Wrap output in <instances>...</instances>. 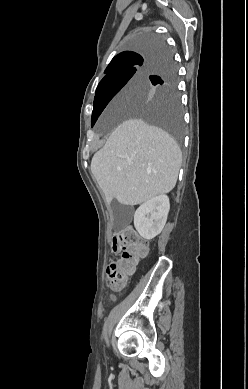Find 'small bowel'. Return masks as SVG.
<instances>
[{"mask_svg": "<svg viewBox=\"0 0 248 389\" xmlns=\"http://www.w3.org/2000/svg\"><path fill=\"white\" fill-rule=\"evenodd\" d=\"M110 299L113 301V300H115V296L114 295H111L110 296Z\"/></svg>", "mask_w": 248, "mask_h": 389, "instance_id": "small-bowel-1", "label": "small bowel"}]
</instances>
